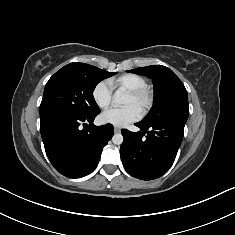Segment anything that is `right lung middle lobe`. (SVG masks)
I'll list each match as a JSON object with an SVG mask.
<instances>
[{
	"instance_id": "obj_1",
	"label": "right lung middle lobe",
	"mask_w": 235,
	"mask_h": 235,
	"mask_svg": "<svg viewBox=\"0 0 235 235\" xmlns=\"http://www.w3.org/2000/svg\"><path fill=\"white\" fill-rule=\"evenodd\" d=\"M114 74L84 63H70L62 67L45 86L40 115L62 113L86 117L100 112L93 91L101 80Z\"/></svg>"
}]
</instances>
